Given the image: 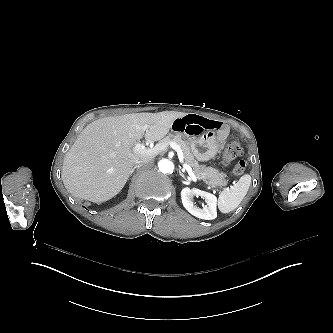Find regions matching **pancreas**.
<instances>
[{"instance_id":"obj_1","label":"pancreas","mask_w":333,"mask_h":333,"mask_svg":"<svg viewBox=\"0 0 333 333\" xmlns=\"http://www.w3.org/2000/svg\"><path fill=\"white\" fill-rule=\"evenodd\" d=\"M171 142L177 143L183 151L185 162L188 163L193 169L196 177L204 182L206 185L212 186H226L228 184L227 175L220 172L215 166H200L199 162L191 153L190 141L182 137L181 134H169L164 138L160 144H170Z\"/></svg>"}]
</instances>
